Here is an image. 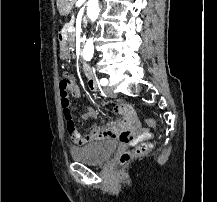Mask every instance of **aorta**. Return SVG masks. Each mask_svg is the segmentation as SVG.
<instances>
[{
	"label": "aorta",
	"instance_id": "1",
	"mask_svg": "<svg viewBox=\"0 0 217 202\" xmlns=\"http://www.w3.org/2000/svg\"><path fill=\"white\" fill-rule=\"evenodd\" d=\"M100 8H99V0H88L87 2V16L90 22H96L99 16ZM94 54V44L93 38H89L87 40L84 50H83V58L84 60H91Z\"/></svg>",
	"mask_w": 217,
	"mask_h": 202
}]
</instances>
